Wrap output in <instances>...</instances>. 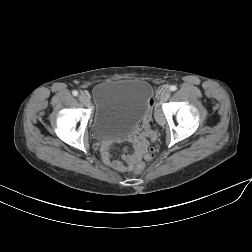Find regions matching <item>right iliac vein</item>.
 <instances>
[{
  "label": "right iliac vein",
  "instance_id": "right-iliac-vein-1",
  "mask_svg": "<svg viewBox=\"0 0 252 252\" xmlns=\"http://www.w3.org/2000/svg\"><path fill=\"white\" fill-rule=\"evenodd\" d=\"M78 99H79V101H80L82 104H84V105H86V106L89 105L90 99H89V96H88L87 94L81 93V94L79 95Z\"/></svg>",
  "mask_w": 252,
  "mask_h": 252
}]
</instances>
